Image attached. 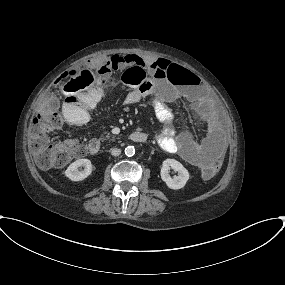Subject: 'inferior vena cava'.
<instances>
[{
  "label": "inferior vena cava",
  "instance_id": "1",
  "mask_svg": "<svg viewBox=\"0 0 285 285\" xmlns=\"http://www.w3.org/2000/svg\"><path fill=\"white\" fill-rule=\"evenodd\" d=\"M111 154L113 156H119L121 154V150L118 148H113V149H111Z\"/></svg>",
  "mask_w": 285,
  "mask_h": 285
}]
</instances>
